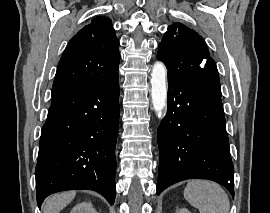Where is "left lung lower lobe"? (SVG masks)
Returning <instances> with one entry per match:
<instances>
[{"mask_svg":"<svg viewBox=\"0 0 270 213\" xmlns=\"http://www.w3.org/2000/svg\"><path fill=\"white\" fill-rule=\"evenodd\" d=\"M168 110L158 128L157 194L186 179H209L234 197V168L221 90L197 79H168Z\"/></svg>","mask_w":270,"mask_h":213,"instance_id":"obj_1","label":"left lung lower lobe"}]
</instances>
